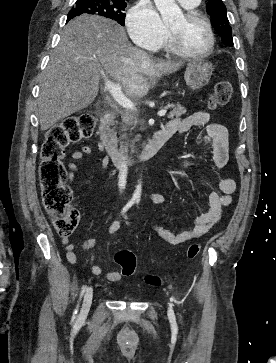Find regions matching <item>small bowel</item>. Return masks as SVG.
Instances as JSON below:
<instances>
[{
	"label": "small bowel",
	"mask_w": 276,
	"mask_h": 363,
	"mask_svg": "<svg viewBox=\"0 0 276 363\" xmlns=\"http://www.w3.org/2000/svg\"><path fill=\"white\" fill-rule=\"evenodd\" d=\"M206 126V135L204 136V143L211 145V162L215 169H223L229 160V135L226 127L220 123L210 122V114L206 111H198L186 118H175L171 120L159 132L167 133L172 136L175 133H183L191 127ZM97 147H101V143H96ZM90 146H83L80 150L73 151L70 155L74 161L81 160L86 155L92 154ZM196 161H185L181 165L183 167L196 166ZM105 165V160H102L101 167ZM69 169V180L74 181L77 177L79 167L75 162L67 164ZM219 192L213 191L209 195V204L206 210L200 212L196 216L189 229L180 233H173L166 228L150 224V228L155 232L159 240L167 242L172 245L181 244L190 240L198 239L204 236L215 224H217L223 214L225 207L232 203L231 195L236 190V182L231 178H220L218 180ZM147 199L156 205L165 204V197L162 194L153 193L148 195ZM120 228V221L115 220L109 227V233L114 235ZM66 256L71 264H77V257L73 252L74 245L66 238H62ZM95 245V240L88 238L80 242V249L84 252H89ZM90 272L94 275H103V269L98 265H92ZM123 273L108 272L104 274V278L109 282H116L121 280Z\"/></svg>",
	"instance_id": "obj_1"
}]
</instances>
